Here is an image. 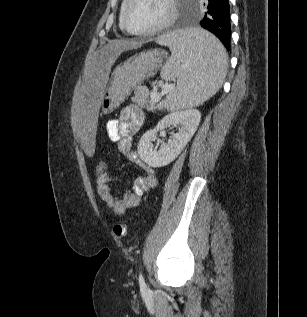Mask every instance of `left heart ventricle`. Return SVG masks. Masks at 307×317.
<instances>
[{
	"label": "left heart ventricle",
	"mask_w": 307,
	"mask_h": 317,
	"mask_svg": "<svg viewBox=\"0 0 307 317\" xmlns=\"http://www.w3.org/2000/svg\"><path fill=\"white\" fill-rule=\"evenodd\" d=\"M169 11L167 0H134L127 12V23L131 30H148L162 23Z\"/></svg>",
	"instance_id": "b2bd125f"
}]
</instances>
